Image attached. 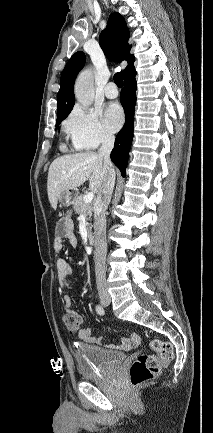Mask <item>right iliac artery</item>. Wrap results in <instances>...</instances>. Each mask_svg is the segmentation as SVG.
<instances>
[{
	"mask_svg": "<svg viewBox=\"0 0 213 433\" xmlns=\"http://www.w3.org/2000/svg\"><path fill=\"white\" fill-rule=\"evenodd\" d=\"M96 312L99 315H104L105 314V310H104V308L101 305H97L96 306Z\"/></svg>",
	"mask_w": 213,
	"mask_h": 433,
	"instance_id": "1",
	"label": "right iliac artery"
}]
</instances>
